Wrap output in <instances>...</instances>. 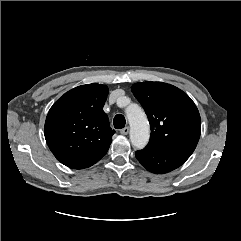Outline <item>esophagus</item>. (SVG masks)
I'll use <instances>...</instances> for the list:
<instances>
[{
	"label": "esophagus",
	"instance_id": "34e87169",
	"mask_svg": "<svg viewBox=\"0 0 241 241\" xmlns=\"http://www.w3.org/2000/svg\"><path fill=\"white\" fill-rule=\"evenodd\" d=\"M129 130H130L129 127H125V128L120 130V133L122 135H127L129 133Z\"/></svg>",
	"mask_w": 241,
	"mask_h": 241
}]
</instances>
